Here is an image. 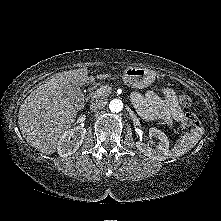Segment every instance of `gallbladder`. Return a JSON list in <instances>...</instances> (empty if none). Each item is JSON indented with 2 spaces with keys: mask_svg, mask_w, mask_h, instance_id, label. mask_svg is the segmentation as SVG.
Here are the masks:
<instances>
[{
  "mask_svg": "<svg viewBox=\"0 0 221 221\" xmlns=\"http://www.w3.org/2000/svg\"><path fill=\"white\" fill-rule=\"evenodd\" d=\"M65 96L68 97L74 104L81 103V90L77 85L69 84Z\"/></svg>",
  "mask_w": 221,
  "mask_h": 221,
  "instance_id": "1",
  "label": "gallbladder"
}]
</instances>
